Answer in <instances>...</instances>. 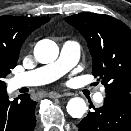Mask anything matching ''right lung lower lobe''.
Listing matches in <instances>:
<instances>
[{
  "mask_svg": "<svg viewBox=\"0 0 131 131\" xmlns=\"http://www.w3.org/2000/svg\"><path fill=\"white\" fill-rule=\"evenodd\" d=\"M36 104L28 94L10 101L6 89L0 90V131H33Z\"/></svg>",
  "mask_w": 131,
  "mask_h": 131,
  "instance_id": "98d812e1",
  "label": "right lung lower lobe"
}]
</instances>
